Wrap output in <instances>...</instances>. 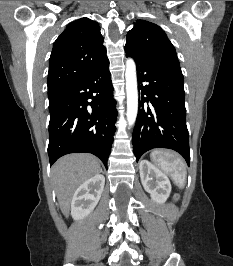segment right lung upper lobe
<instances>
[{"mask_svg": "<svg viewBox=\"0 0 233 266\" xmlns=\"http://www.w3.org/2000/svg\"><path fill=\"white\" fill-rule=\"evenodd\" d=\"M106 61V48L98 23L88 18L71 22L53 45L48 93L72 85Z\"/></svg>", "mask_w": 233, "mask_h": 266, "instance_id": "obj_1", "label": "right lung upper lobe"}]
</instances>
